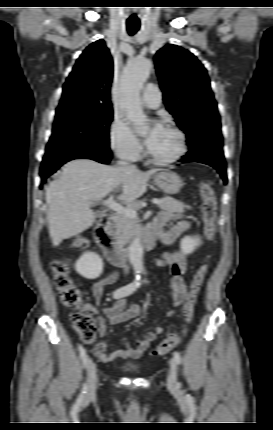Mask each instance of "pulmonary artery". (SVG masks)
<instances>
[{
  "instance_id": "1",
  "label": "pulmonary artery",
  "mask_w": 273,
  "mask_h": 430,
  "mask_svg": "<svg viewBox=\"0 0 273 430\" xmlns=\"http://www.w3.org/2000/svg\"><path fill=\"white\" fill-rule=\"evenodd\" d=\"M142 103L146 108L157 109L161 104V91L159 87L154 83H149L146 85L143 96Z\"/></svg>"
}]
</instances>
